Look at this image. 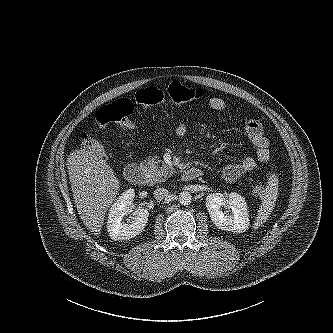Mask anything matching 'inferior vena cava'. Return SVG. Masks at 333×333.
I'll return each mask as SVG.
<instances>
[{
    "label": "inferior vena cava",
    "instance_id": "inferior-vena-cava-1",
    "mask_svg": "<svg viewBox=\"0 0 333 333\" xmlns=\"http://www.w3.org/2000/svg\"><path fill=\"white\" fill-rule=\"evenodd\" d=\"M153 194L157 201H161L168 196V190L165 188H157Z\"/></svg>",
    "mask_w": 333,
    "mask_h": 333
}]
</instances>
